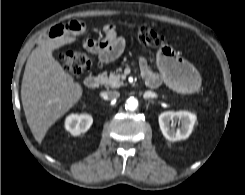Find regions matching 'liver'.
<instances>
[{
  "mask_svg": "<svg viewBox=\"0 0 245 195\" xmlns=\"http://www.w3.org/2000/svg\"><path fill=\"white\" fill-rule=\"evenodd\" d=\"M75 40L68 36L50 39L35 48L27 60L21 100L28 126L38 143L83 96L82 86L53 57L55 49Z\"/></svg>",
  "mask_w": 245,
  "mask_h": 195,
  "instance_id": "1",
  "label": "liver"
}]
</instances>
